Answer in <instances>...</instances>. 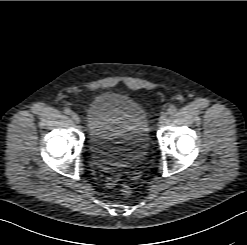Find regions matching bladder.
<instances>
[{
  "mask_svg": "<svg viewBox=\"0 0 247 245\" xmlns=\"http://www.w3.org/2000/svg\"><path fill=\"white\" fill-rule=\"evenodd\" d=\"M91 157L101 168L117 170L134 164L149 148V122L133 99L107 91L87 108Z\"/></svg>",
  "mask_w": 247,
  "mask_h": 245,
  "instance_id": "bladder-1",
  "label": "bladder"
}]
</instances>
